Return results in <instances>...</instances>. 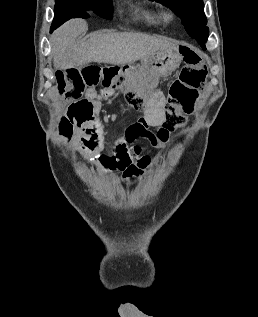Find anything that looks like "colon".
I'll return each mask as SVG.
<instances>
[{
  "label": "colon",
  "instance_id": "colon-1",
  "mask_svg": "<svg viewBox=\"0 0 258 317\" xmlns=\"http://www.w3.org/2000/svg\"><path fill=\"white\" fill-rule=\"evenodd\" d=\"M185 66L172 83L165 103L163 128L174 131L186 122L193 109L207 76V67L202 54L195 48L183 47ZM59 94L74 102L80 101L85 92L98 85L117 87L135 107L146 109L153 94L147 91L132 75L130 70L113 65L87 63L79 67L70 66L57 75ZM71 103V104H72ZM70 104V105H71ZM59 132L70 140L75 132L74 118L65 113L59 122Z\"/></svg>",
  "mask_w": 258,
  "mask_h": 317
}]
</instances>
